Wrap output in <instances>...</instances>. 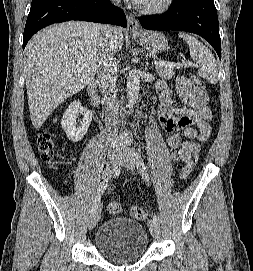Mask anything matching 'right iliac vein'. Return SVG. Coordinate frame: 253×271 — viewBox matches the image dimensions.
<instances>
[{
    "label": "right iliac vein",
    "instance_id": "63e3f726",
    "mask_svg": "<svg viewBox=\"0 0 253 271\" xmlns=\"http://www.w3.org/2000/svg\"><path fill=\"white\" fill-rule=\"evenodd\" d=\"M121 153L119 151L110 150L107 155V166H106V175L110 176L117 167V164L120 160ZM101 207H96V209L91 213L88 228L92 230L99 221L100 218Z\"/></svg>",
    "mask_w": 253,
    "mask_h": 271
}]
</instances>
